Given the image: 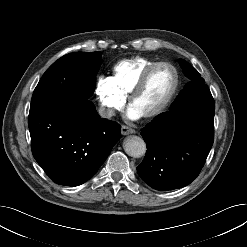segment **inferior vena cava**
<instances>
[{
	"label": "inferior vena cava",
	"instance_id": "602c4592",
	"mask_svg": "<svg viewBox=\"0 0 247 247\" xmlns=\"http://www.w3.org/2000/svg\"><path fill=\"white\" fill-rule=\"evenodd\" d=\"M98 113L102 118H110L115 114L113 109L106 108L103 106L99 108Z\"/></svg>",
	"mask_w": 247,
	"mask_h": 247
}]
</instances>
